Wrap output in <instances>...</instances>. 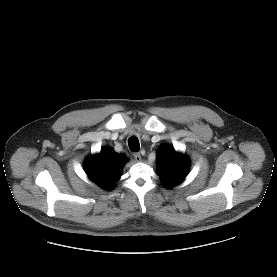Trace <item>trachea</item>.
<instances>
[{
    "instance_id": "3493384b",
    "label": "trachea",
    "mask_w": 277,
    "mask_h": 277,
    "mask_svg": "<svg viewBox=\"0 0 277 277\" xmlns=\"http://www.w3.org/2000/svg\"><path fill=\"white\" fill-rule=\"evenodd\" d=\"M128 145H129L130 150H132L134 152L139 151L140 145H139V141L136 137H131L128 140Z\"/></svg>"
}]
</instances>
